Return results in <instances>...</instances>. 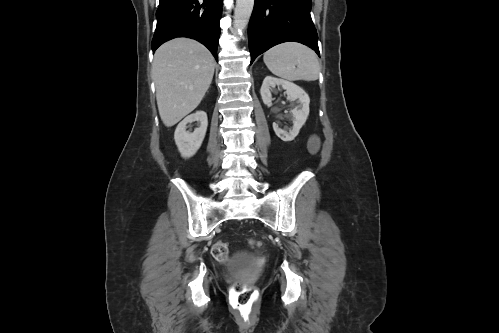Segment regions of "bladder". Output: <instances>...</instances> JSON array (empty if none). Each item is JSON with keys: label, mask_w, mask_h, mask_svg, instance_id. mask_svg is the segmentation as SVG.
<instances>
[{"label": "bladder", "mask_w": 499, "mask_h": 333, "mask_svg": "<svg viewBox=\"0 0 499 333\" xmlns=\"http://www.w3.org/2000/svg\"><path fill=\"white\" fill-rule=\"evenodd\" d=\"M247 260L244 257H240L235 260L234 265L237 267H243L246 264Z\"/></svg>", "instance_id": "bladder-1"}]
</instances>
